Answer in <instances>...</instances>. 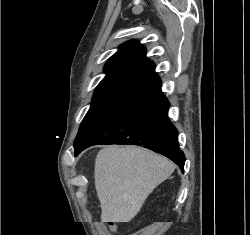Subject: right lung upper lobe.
Here are the masks:
<instances>
[{"label":"right lung upper lobe","instance_id":"cb5924a9","mask_svg":"<svg viewBox=\"0 0 250 235\" xmlns=\"http://www.w3.org/2000/svg\"><path fill=\"white\" fill-rule=\"evenodd\" d=\"M146 49L131 40L122 44L105 65L106 76L97 86L93 97H131L159 78L155 64L146 56Z\"/></svg>","mask_w":250,"mask_h":235}]
</instances>
